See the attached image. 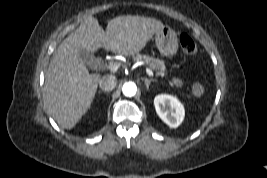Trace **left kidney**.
I'll return each mask as SVG.
<instances>
[{"instance_id": "left-kidney-1", "label": "left kidney", "mask_w": 267, "mask_h": 178, "mask_svg": "<svg viewBox=\"0 0 267 178\" xmlns=\"http://www.w3.org/2000/svg\"><path fill=\"white\" fill-rule=\"evenodd\" d=\"M154 106L158 116L171 128H177L184 119V107L179 100L168 94H160L154 98Z\"/></svg>"}]
</instances>
